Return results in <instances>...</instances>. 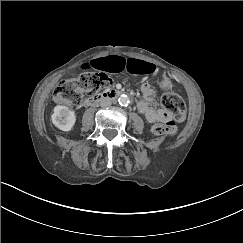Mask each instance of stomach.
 I'll use <instances>...</instances> for the list:
<instances>
[{
  "label": "stomach",
  "mask_w": 243,
  "mask_h": 243,
  "mask_svg": "<svg viewBox=\"0 0 243 243\" xmlns=\"http://www.w3.org/2000/svg\"><path fill=\"white\" fill-rule=\"evenodd\" d=\"M162 86L164 88H170L171 87V82L168 78H164L163 81H162Z\"/></svg>",
  "instance_id": "obj_1"
}]
</instances>
